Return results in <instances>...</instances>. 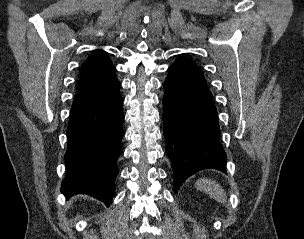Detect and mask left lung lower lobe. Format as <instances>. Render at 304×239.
Listing matches in <instances>:
<instances>
[{"label": "left lung lower lobe", "instance_id": "1", "mask_svg": "<svg viewBox=\"0 0 304 239\" xmlns=\"http://www.w3.org/2000/svg\"><path fill=\"white\" fill-rule=\"evenodd\" d=\"M166 154L174 173V191L202 169L226 171L216 107L200 68L180 57L163 83Z\"/></svg>", "mask_w": 304, "mask_h": 239}]
</instances>
